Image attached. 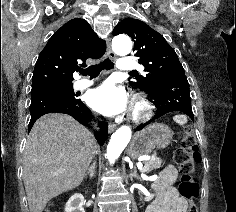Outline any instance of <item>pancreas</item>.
<instances>
[{"instance_id":"obj_1","label":"pancreas","mask_w":236,"mask_h":212,"mask_svg":"<svg viewBox=\"0 0 236 212\" xmlns=\"http://www.w3.org/2000/svg\"><path fill=\"white\" fill-rule=\"evenodd\" d=\"M162 160L158 157H153L152 159L145 161V166L147 167L143 172H150L154 169L161 167Z\"/></svg>"}]
</instances>
